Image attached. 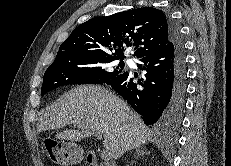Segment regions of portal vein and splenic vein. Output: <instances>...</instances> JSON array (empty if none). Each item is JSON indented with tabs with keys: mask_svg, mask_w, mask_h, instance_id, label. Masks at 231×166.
<instances>
[{
	"mask_svg": "<svg viewBox=\"0 0 231 166\" xmlns=\"http://www.w3.org/2000/svg\"><path fill=\"white\" fill-rule=\"evenodd\" d=\"M94 135L97 137V139L101 140L102 139V134L99 132H95ZM101 158L104 162H108L111 159L110 152L107 149H104L101 152Z\"/></svg>",
	"mask_w": 231,
	"mask_h": 166,
	"instance_id": "portal-vein-and-splenic-vein-1",
	"label": "portal vein and splenic vein"
}]
</instances>
